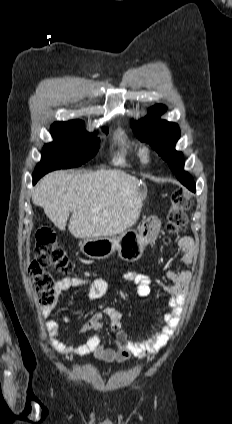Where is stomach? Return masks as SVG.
I'll list each match as a JSON object with an SVG mask.
<instances>
[{
	"instance_id": "stomach-1",
	"label": "stomach",
	"mask_w": 232,
	"mask_h": 424,
	"mask_svg": "<svg viewBox=\"0 0 232 424\" xmlns=\"http://www.w3.org/2000/svg\"><path fill=\"white\" fill-rule=\"evenodd\" d=\"M160 227L159 220L145 221L138 230L130 229L115 237L84 238L80 241V248L92 259H105L118 251L120 258L136 261L144 248L158 237Z\"/></svg>"
}]
</instances>
